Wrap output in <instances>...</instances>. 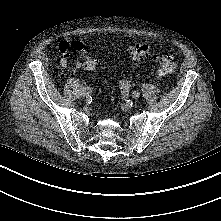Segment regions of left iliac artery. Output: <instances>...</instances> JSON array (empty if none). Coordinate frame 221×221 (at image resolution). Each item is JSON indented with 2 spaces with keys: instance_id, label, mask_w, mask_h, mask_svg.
<instances>
[{
  "instance_id": "44dca946",
  "label": "left iliac artery",
  "mask_w": 221,
  "mask_h": 221,
  "mask_svg": "<svg viewBox=\"0 0 221 221\" xmlns=\"http://www.w3.org/2000/svg\"><path fill=\"white\" fill-rule=\"evenodd\" d=\"M120 89L123 99H127L129 96V84L126 80L120 82Z\"/></svg>"
}]
</instances>
